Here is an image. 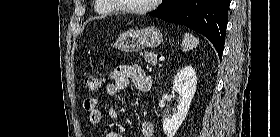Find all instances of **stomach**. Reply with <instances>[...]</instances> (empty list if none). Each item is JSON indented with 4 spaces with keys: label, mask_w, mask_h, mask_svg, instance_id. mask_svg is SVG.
<instances>
[{
    "label": "stomach",
    "mask_w": 280,
    "mask_h": 137,
    "mask_svg": "<svg viewBox=\"0 0 280 137\" xmlns=\"http://www.w3.org/2000/svg\"><path fill=\"white\" fill-rule=\"evenodd\" d=\"M162 40L161 31L154 26H149L122 33L111 46L124 52H137L145 47H158Z\"/></svg>",
    "instance_id": "obj_1"
}]
</instances>
